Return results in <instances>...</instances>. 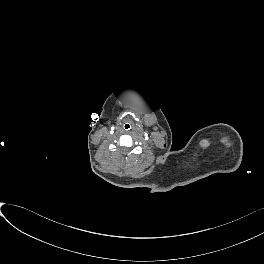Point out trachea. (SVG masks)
<instances>
[{
  "label": "trachea",
  "mask_w": 264,
  "mask_h": 264,
  "mask_svg": "<svg viewBox=\"0 0 264 264\" xmlns=\"http://www.w3.org/2000/svg\"><path fill=\"white\" fill-rule=\"evenodd\" d=\"M122 127H123V129L125 131H130L131 128H132V124L130 122H125V123H123V126Z\"/></svg>",
  "instance_id": "1"
}]
</instances>
